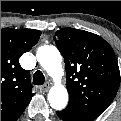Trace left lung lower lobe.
Listing matches in <instances>:
<instances>
[{"label": "left lung lower lobe", "instance_id": "1", "mask_svg": "<svg viewBox=\"0 0 121 121\" xmlns=\"http://www.w3.org/2000/svg\"><path fill=\"white\" fill-rule=\"evenodd\" d=\"M57 115L64 121H88L86 119H82L79 117H75L73 115H70L66 113L65 111H57Z\"/></svg>", "mask_w": 121, "mask_h": 121}]
</instances>
